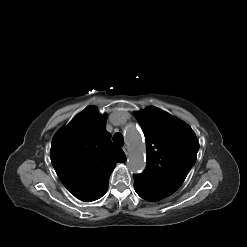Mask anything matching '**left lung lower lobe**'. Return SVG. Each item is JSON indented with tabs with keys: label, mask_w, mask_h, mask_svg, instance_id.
Segmentation results:
<instances>
[{
	"label": "left lung lower lobe",
	"mask_w": 247,
	"mask_h": 247,
	"mask_svg": "<svg viewBox=\"0 0 247 247\" xmlns=\"http://www.w3.org/2000/svg\"><path fill=\"white\" fill-rule=\"evenodd\" d=\"M134 189L141 198L148 201H158L165 198L164 196L148 188L139 178L135 176H134Z\"/></svg>",
	"instance_id": "0a47b994"
}]
</instances>
